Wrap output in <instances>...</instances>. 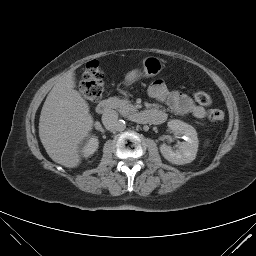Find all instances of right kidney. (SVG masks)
Wrapping results in <instances>:
<instances>
[{
    "instance_id": "obj_1",
    "label": "right kidney",
    "mask_w": 256,
    "mask_h": 256,
    "mask_svg": "<svg viewBox=\"0 0 256 256\" xmlns=\"http://www.w3.org/2000/svg\"><path fill=\"white\" fill-rule=\"evenodd\" d=\"M98 139L95 136H91L86 144L82 148V154L84 157L91 156L98 148Z\"/></svg>"
}]
</instances>
